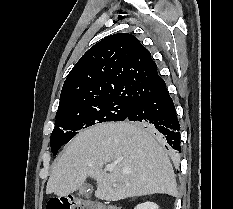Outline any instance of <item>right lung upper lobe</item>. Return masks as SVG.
Returning a JSON list of instances; mask_svg holds the SVG:
<instances>
[{
	"label": "right lung upper lobe",
	"instance_id": "1",
	"mask_svg": "<svg viewBox=\"0 0 233 209\" xmlns=\"http://www.w3.org/2000/svg\"><path fill=\"white\" fill-rule=\"evenodd\" d=\"M165 86L150 52L136 37L110 35L91 47L70 71L56 115L108 98L137 104Z\"/></svg>",
	"mask_w": 233,
	"mask_h": 209
}]
</instances>
